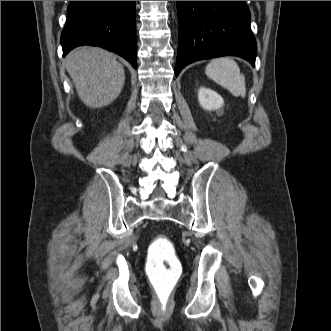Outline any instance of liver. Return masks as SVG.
<instances>
[{
	"label": "liver",
	"instance_id": "1",
	"mask_svg": "<svg viewBox=\"0 0 331 331\" xmlns=\"http://www.w3.org/2000/svg\"><path fill=\"white\" fill-rule=\"evenodd\" d=\"M65 64L79 98L87 106H107L121 93L124 68L111 52L97 47H78L66 56Z\"/></svg>",
	"mask_w": 331,
	"mask_h": 331
}]
</instances>
